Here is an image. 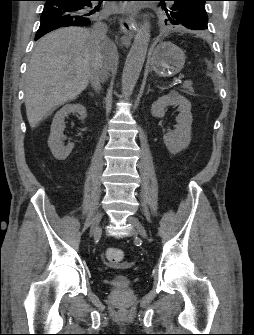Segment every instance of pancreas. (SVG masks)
<instances>
[{
	"instance_id": "pancreas-1",
	"label": "pancreas",
	"mask_w": 254,
	"mask_h": 335,
	"mask_svg": "<svg viewBox=\"0 0 254 335\" xmlns=\"http://www.w3.org/2000/svg\"><path fill=\"white\" fill-rule=\"evenodd\" d=\"M182 88L184 89L183 92L189 95H193L194 89L192 87L191 81H185L182 85Z\"/></svg>"
}]
</instances>
